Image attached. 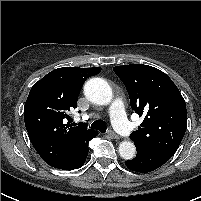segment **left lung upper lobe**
I'll use <instances>...</instances> for the list:
<instances>
[{"mask_svg":"<svg viewBox=\"0 0 201 201\" xmlns=\"http://www.w3.org/2000/svg\"><path fill=\"white\" fill-rule=\"evenodd\" d=\"M125 84L131 108L144 120L131 133L137 151L178 149L186 131L185 100L173 81L157 68L131 64L113 68Z\"/></svg>","mask_w":201,"mask_h":201,"instance_id":"5c2ea615","label":"left lung upper lobe"}]
</instances>
